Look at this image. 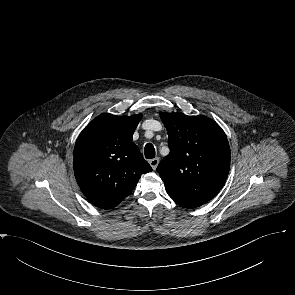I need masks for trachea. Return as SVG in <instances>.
<instances>
[{"label": "trachea", "mask_w": 295, "mask_h": 295, "mask_svg": "<svg viewBox=\"0 0 295 295\" xmlns=\"http://www.w3.org/2000/svg\"><path fill=\"white\" fill-rule=\"evenodd\" d=\"M145 158L152 159L155 157V148L151 143H147L144 148Z\"/></svg>", "instance_id": "1"}]
</instances>
